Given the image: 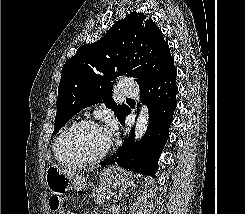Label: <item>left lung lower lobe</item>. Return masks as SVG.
<instances>
[{"label": "left lung lower lobe", "mask_w": 245, "mask_h": 214, "mask_svg": "<svg viewBox=\"0 0 245 214\" xmlns=\"http://www.w3.org/2000/svg\"><path fill=\"white\" fill-rule=\"evenodd\" d=\"M176 76L173 64L155 82L140 89L142 102L146 103L149 111L147 131L139 142H135V132L131 129L120 149L102 161V166L118 164L142 175L156 177L158 159L168 139L169 127L177 106ZM130 112L129 109L126 116ZM121 123L125 124V118Z\"/></svg>", "instance_id": "obj_1"}]
</instances>
